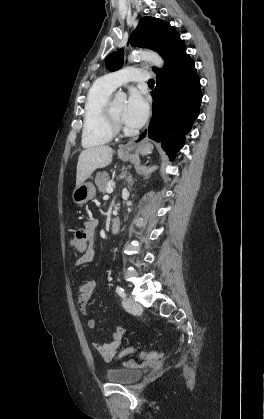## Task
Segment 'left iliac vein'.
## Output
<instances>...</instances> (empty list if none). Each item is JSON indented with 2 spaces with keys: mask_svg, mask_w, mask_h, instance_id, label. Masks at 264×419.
<instances>
[{
  "mask_svg": "<svg viewBox=\"0 0 264 419\" xmlns=\"http://www.w3.org/2000/svg\"><path fill=\"white\" fill-rule=\"evenodd\" d=\"M123 307L130 313L136 314L142 311V306L132 298L123 300Z\"/></svg>",
  "mask_w": 264,
  "mask_h": 419,
  "instance_id": "4c4485c4",
  "label": "left iliac vein"
}]
</instances>
